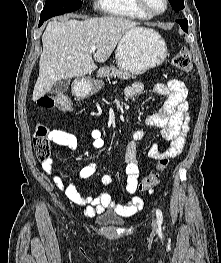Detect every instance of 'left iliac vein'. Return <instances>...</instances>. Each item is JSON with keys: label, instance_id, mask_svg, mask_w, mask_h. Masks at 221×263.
Segmentation results:
<instances>
[{"label": "left iliac vein", "instance_id": "left-iliac-vein-1", "mask_svg": "<svg viewBox=\"0 0 221 263\" xmlns=\"http://www.w3.org/2000/svg\"><path fill=\"white\" fill-rule=\"evenodd\" d=\"M152 227H153V229H155V227H156L155 220L152 221Z\"/></svg>", "mask_w": 221, "mask_h": 263}]
</instances>
